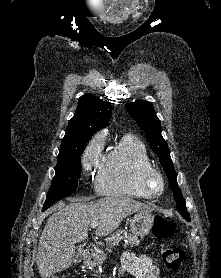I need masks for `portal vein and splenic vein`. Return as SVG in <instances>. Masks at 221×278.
I'll return each instance as SVG.
<instances>
[{
  "mask_svg": "<svg viewBox=\"0 0 221 278\" xmlns=\"http://www.w3.org/2000/svg\"><path fill=\"white\" fill-rule=\"evenodd\" d=\"M91 228H96L98 226V222L94 221L90 224Z\"/></svg>",
  "mask_w": 221,
  "mask_h": 278,
  "instance_id": "portal-vein-and-splenic-vein-1",
  "label": "portal vein and splenic vein"
}]
</instances>
